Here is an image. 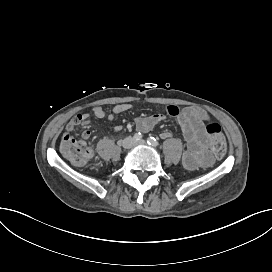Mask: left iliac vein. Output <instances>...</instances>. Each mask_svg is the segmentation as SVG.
<instances>
[{
    "label": "left iliac vein",
    "mask_w": 272,
    "mask_h": 272,
    "mask_svg": "<svg viewBox=\"0 0 272 272\" xmlns=\"http://www.w3.org/2000/svg\"><path fill=\"white\" fill-rule=\"evenodd\" d=\"M147 142L145 140H141V141H138V142H134V146H137V145H145Z\"/></svg>",
    "instance_id": "4c4485c4"
}]
</instances>
